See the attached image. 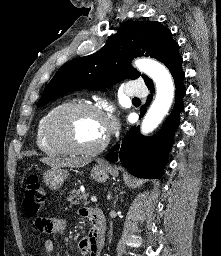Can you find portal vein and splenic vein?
<instances>
[{
    "label": "portal vein and splenic vein",
    "instance_id": "obj_1",
    "mask_svg": "<svg viewBox=\"0 0 221 256\" xmlns=\"http://www.w3.org/2000/svg\"><path fill=\"white\" fill-rule=\"evenodd\" d=\"M90 200H91L92 202H97V197H96V196H91Z\"/></svg>",
    "mask_w": 221,
    "mask_h": 256
}]
</instances>
